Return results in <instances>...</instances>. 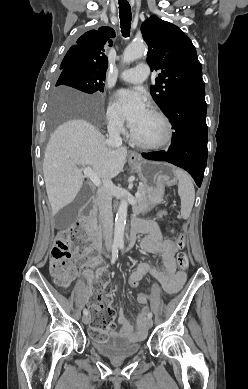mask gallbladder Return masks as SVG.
<instances>
[{"label":"gallbladder","instance_id":"bac80fb5","mask_svg":"<svg viewBox=\"0 0 248 389\" xmlns=\"http://www.w3.org/2000/svg\"><path fill=\"white\" fill-rule=\"evenodd\" d=\"M90 196V189L88 186L82 187L77 194L74 201L66 208H64L57 216V224L62 225L67 218L69 222H73L76 219L78 209L86 203Z\"/></svg>","mask_w":248,"mask_h":389}]
</instances>
